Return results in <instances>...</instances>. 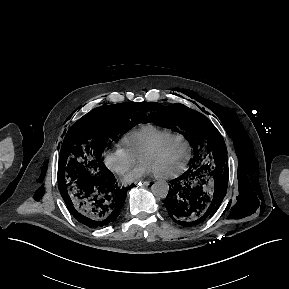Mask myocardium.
Masks as SVG:
<instances>
[{
    "instance_id": "myocardium-1",
    "label": "myocardium",
    "mask_w": 289,
    "mask_h": 289,
    "mask_svg": "<svg viewBox=\"0 0 289 289\" xmlns=\"http://www.w3.org/2000/svg\"><path fill=\"white\" fill-rule=\"evenodd\" d=\"M172 138H179L181 140H183L187 146V157L184 161V163L182 164V166L177 169L174 172H170V173H165V174H155L156 177L158 178H162V179H170V178H175L179 175H181L188 167L189 162L191 160L192 157V145L190 143V141L188 140V138L186 136H184L181 133L178 132H172L170 134H167L165 136H163L162 138L158 139L156 142H154L152 145H150L148 148H146L139 156V160L141 161L143 159V157L157 151L159 149V147L166 142L169 139Z\"/></svg>"
}]
</instances>
